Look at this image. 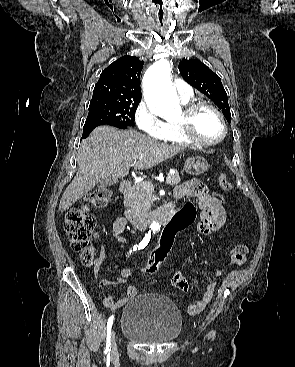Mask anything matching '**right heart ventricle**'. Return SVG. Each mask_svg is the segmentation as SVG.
<instances>
[{
    "mask_svg": "<svg viewBox=\"0 0 295 367\" xmlns=\"http://www.w3.org/2000/svg\"><path fill=\"white\" fill-rule=\"evenodd\" d=\"M184 104H189L188 102H183ZM168 124V131L165 137L162 139L166 142H170L173 144H178L182 146H190L193 145L181 132L177 122H169Z\"/></svg>",
    "mask_w": 295,
    "mask_h": 367,
    "instance_id": "obj_1",
    "label": "right heart ventricle"
}]
</instances>
